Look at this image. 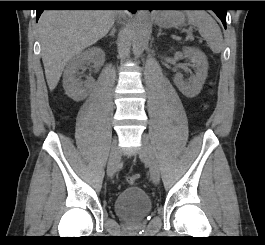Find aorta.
<instances>
[{"label": "aorta", "instance_id": "1", "mask_svg": "<svg viewBox=\"0 0 265 245\" xmlns=\"http://www.w3.org/2000/svg\"><path fill=\"white\" fill-rule=\"evenodd\" d=\"M149 16L146 10H139L136 15L134 36L132 40L133 53L139 57L148 45Z\"/></svg>", "mask_w": 265, "mask_h": 245}]
</instances>
